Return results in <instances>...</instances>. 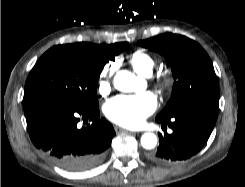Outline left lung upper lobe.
Masks as SVG:
<instances>
[{
  "mask_svg": "<svg viewBox=\"0 0 245 187\" xmlns=\"http://www.w3.org/2000/svg\"><path fill=\"white\" fill-rule=\"evenodd\" d=\"M138 45L162 54L175 80L171 98L157 117L166 119L193 107L218 105L217 77L208 54L197 42L166 33L138 41Z\"/></svg>",
  "mask_w": 245,
  "mask_h": 187,
  "instance_id": "left-lung-upper-lobe-1",
  "label": "left lung upper lobe"
}]
</instances>
